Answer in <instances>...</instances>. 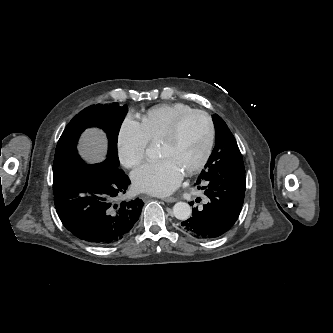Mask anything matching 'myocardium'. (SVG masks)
Segmentation results:
<instances>
[{
	"label": "myocardium",
	"mask_w": 333,
	"mask_h": 333,
	"mask_svg": "<svg viewBox=\"0 0 333 333\" xmlns=\"http://www.w3.org/2000/svg\"><path fill=\"white\" fill-rule=\"evenodd\" d=\"M195 115H199L202 116L208 125V140H207V145L205 148V151L201 157V159L192 167L188 168L185 171L186 175H192L198 171H200L201 169H203L205 167V165L207 164V162L209 161L213 148H214V144H215V137H216V131H215V125L213 122V119L211 117V115L204 111V110H200V109H193L189 112H186L184 114H182L181 116H179L174 122L173 124L170 126L169 130L166 132V134L161 138L160 142H173L177 139L180 129L183 125V123L189 119L192 116Z\"/></svg>",
	"instance_id": "1"
}]
</instances>
